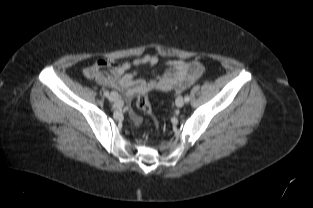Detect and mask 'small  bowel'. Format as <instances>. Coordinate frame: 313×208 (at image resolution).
I'll use <instances>...</instances> for the list:
<instances>
[{"label": "small bowel", "instance_id": "c3829d8e", "mask_svg": "<svg viewBox=\"0 0 313 208\" xmlns=\"http://www.w3.org/2000/svg\"><path fill=\"white\" fill-rule=\"evenodd\" d=\"M159 59L155 55L146 54L131 61L116 64L113 61L99 59L87 67L83 74L87 79L95 80L99 85L118 90L127 99L151 89L184 90L199 79L204 67L198 61L186 62L183 60H171L166 63L167 71L162 76H156L153 80L146 82L136 78V71L130 72L132 68L147 65L154 67ZM136 122L139 117L133 116Z\"/></svg>", "mask_w": 313, "mask_h": 208}]
</instances>
